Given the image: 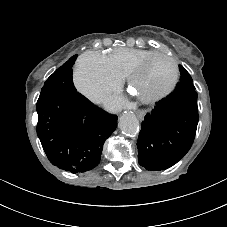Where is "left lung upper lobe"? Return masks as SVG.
Returning a JSON list of instances; mask_svg holds the SVG:
<instances>
[{
  "mask_svg": "<svg viewBox=\"0 0 227 227\" xmlns=\"http://www.w3.org/2000/svg\"><path fill=\"white\" fill-rule=\"evenodd\" d=\"M180 73H181V77H180V81L177 84V87L175 90H189V89H195L193 82H192V77L190 76V74L187 72V70L180 66Z\"/></svg>",
  "mask_w": 227,
  "mask_h": 227,
  "instance_id": "5c2ea615",
  "label": "left lung upper lobe"
}]
</instances>
